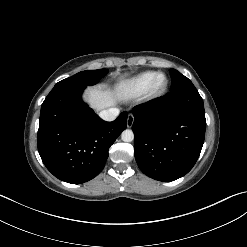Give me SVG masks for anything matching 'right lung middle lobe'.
Masks as SVG:
<instances>
[{
    "mask_svg": "<svg viewBox=\"0 0 247 247\" xmlns=\"http://www.w3.org/2000/svg\"><path fill=\"white\" fill-rule=\"evenodd\" d=\"M107 73H108L107 69L81 71L69 78L61 80L54 86V88L62 87V86L86 87L88 85H94Z\"/></svg>",
    "mask_w": 247,
    "mask_h": 247,
    "instance_id": "right-lung-middle-lobe-1",
    "label": "right lung middle lobe"
}]
</instances>
